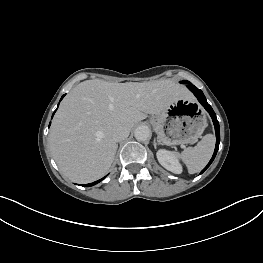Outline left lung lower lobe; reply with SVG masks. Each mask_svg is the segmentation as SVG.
Masks as SVG:
<instances>
[{"mask_svg":"<svg viewBox=\"0 0 263 263\" xmlns=\"http://www.w3.org/2000/svg\"><path fill=\"white\" fill-rule=\"evenodd\" d=\"M188 89L190 91H192L194 93V95L197 97L198 101L201 103V105L208 111V113L210 114L212 120H213V123H214V126H215V131H216V147H215V150H214V153H213V156L211 158V160L209 161V163L207 164V166L201 171V173H203L209 166L210 164L213 162L216 154H217V151H218V148H219V143H220V129H219V123H218V120L216 118V115H215V112L213 111V109L211 108V106L207 103L206 101V98L203 94V92L198 89L197 87H195L194 85L192 84H188L187 85Z\"/></svg>","mask_w":263,"mask_h":263,"instance_id":"1","label":"left lung lower lobe"}]
</instances>
